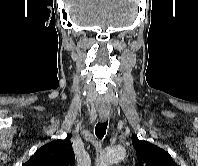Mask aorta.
<instances>
[{
  "instance_id": "obj_1",
  "label": "aorta",
  "mask_w": 198,
  "mask_h": 166,
  "mask_svg": "<svg viewBox=\"0 0 198 166\" xmlns=\"http://www.w3.org/2000/svg\"><path fill=\"white\" fill-rule=\"evenodd\" d=\"M126 150L122 146H116L104 150L96 159V166H110L113 163L124 159Z\"/></svg>"
}]
</instances>
